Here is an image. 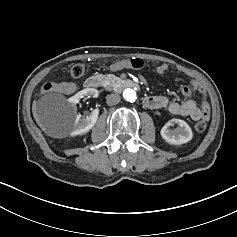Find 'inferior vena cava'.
Instances as JSON below:
<instances>
[{
	"mask_svg": "<svg viewBox=\"0 0 237 237\" xmlns=\"http://www.w3.org/2000/svg\"><path fill=\"white\" fill-rule=\"evenodd\" d=\"M106 102L109 106L116 105L120 102V96L118 94H110L107 96Z\"/></svg>",
	"mask_w": 237,
	"mask_h": 237,
	"instance_id": "inferior-vena-cava-1",
	"label": "inferior vena cava"
}]
</instances>
